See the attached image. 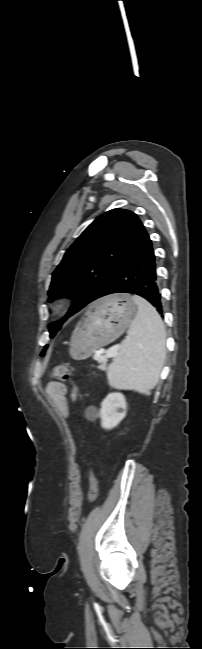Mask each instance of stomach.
<instances>
[{"mask_svg": "<svg viewBox=\"0 0 202 649\" xmlns=\"http://www.w3.org/2000/svg\"><path fill=\"white\" fill-rule=\"evenodd\" d=\"M136 314L137 306L129 294L107 296L94 303L72 333L70 355L74 359L90 357L120 336Z\"/></svg>", "mask_w": 202, "mask_h": 649, "instance_id": "stomach-1", "label": "stomach"}]
</instances>
